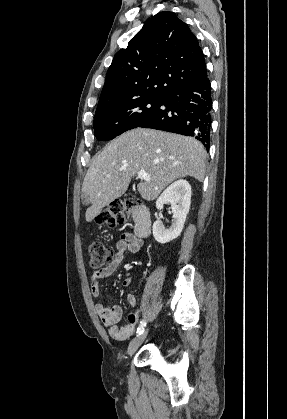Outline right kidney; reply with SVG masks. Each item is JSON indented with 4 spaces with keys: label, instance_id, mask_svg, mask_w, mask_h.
Wrapping results in <instances>:
<instances>
[{
    "label": "right kidney",
    "instance_id": "right-kidney-1",
    "mask_svg": "<svg viewBox=\"0 0 287 419\" xmlns=\"http://www.w3.org/2000/svg\"><path fill=\"white\" fill-rule=\"evenodd\" d=\"M172 205L173 223L166 229L160 218L153 224V236L158 243L165 244L176 239L182 232L186 216L191 204V186L186 180H178L171 184L160 195L156 202L157 210H162L164 204Z\"/></svg>",
    "mask_w": 287,
    "mask_h": 419
}]
</instances>
